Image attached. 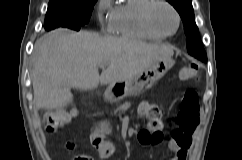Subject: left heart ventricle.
Masks as SVG:
<instances>
[{
  "label": "left heart ventricle",
  "mask_w": 242,
  "mask_h": 160,
  "mask_svg": "<svg viewBox=\"0 0 242 160\" xmlns=\"http://www.w3.org/2000/svg\"><path fill=\"white\" fill-rule=\"evenodd\" d=\"M152 21L155 27L164 33L173 32L177 24L174 13L165 5H158L154 8Z\"/></svg>",
  "instance_id": "1"
}]
</instances>
